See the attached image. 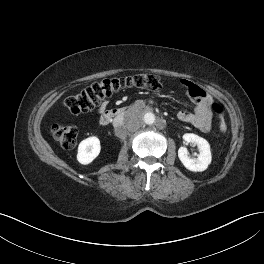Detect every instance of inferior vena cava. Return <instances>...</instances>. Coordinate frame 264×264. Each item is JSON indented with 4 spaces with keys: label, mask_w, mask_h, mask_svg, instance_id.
I'll list each match as a JSON object with an SVG mask.
<instances>
[{
    "label": "inferior vena cava",
    "mask_w": 264,
    "mask_h": 264,
    "mask_svg": "<svg viewBox=\"0 0 264 264\" xmlns=\"http://www.w3.org/2000/svg\"><path fill=\"white\" fill-rule=\"evenodd\" d=\"M113 124L116 127L123 126L124 125V119L121 116H116L113 119Z\"/></svg>",
    "instance_id": "1"
}]
</instances>
